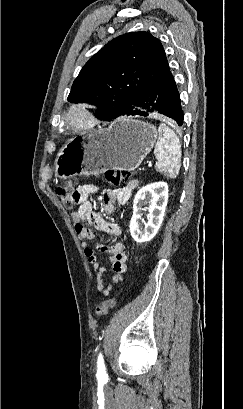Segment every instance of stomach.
<instances>
[{
    "instance_id": "obj_1",
    "label": "stomach",
    "mask_w": 243,
    "mask_h": 409,
    "mask_svg": "<svg viewBox=\"0 0 243 409\" xmlns=\"http://www.w3.org/2000/svg\"><path fill=\"white\" fill-rule=\"evenodd\" d=\"M157 136L156 128L149 123L120 118L106 129L70 140L56 157V176L67 179L99 175L109 169L134 170L149 154Z\"/></svg>"
}]
</instances>
